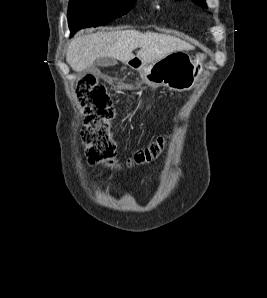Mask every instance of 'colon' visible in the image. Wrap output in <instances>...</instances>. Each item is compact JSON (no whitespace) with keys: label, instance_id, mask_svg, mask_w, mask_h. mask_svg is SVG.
Instances as JSON below:
<instances>
[{"label":"colon","instance_id":"1","mask_svg":"<svg viewBox=\"0 0 267 298\" xmlns=\"http://www.w3.org/2000/svg\"><path fill=\"white\" fill-rule=\"evenodd\" d=\"M75 93L82 111L85 128L95 139L91 151L92 164L116 171L123 167L149 163L163 152L167 144L166 136L159 137L146 148L137 151L126 162H118L114 158V143L105 129V122L112 112L105 87L99 84L93 75L87 74L78 80Z\"/></svg>","mask_w":267,"mask_h":298}]
</instances>
